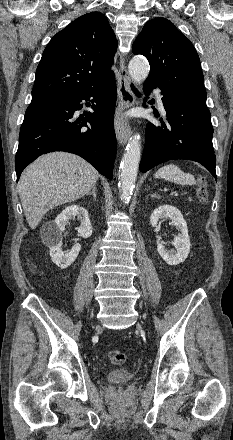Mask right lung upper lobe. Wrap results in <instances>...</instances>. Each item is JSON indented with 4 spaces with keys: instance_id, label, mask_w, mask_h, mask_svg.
<instances>
[{
    "instance_id": "1",
    "label": "right lung upper lobe",
    "mask_w": 233,
    "mask_h": 440,
    "mask_svg": "<svg viewBox=\"0 0 233 440\" xmlns=\"http://www.w3.org/2000/svg\"><path fill=\"white\" fill-rule=\"evenodd\" d=\"M116 36L100 12L85 14L58 32L36 70L32 99L89 90L110 78Z\"/></svg>"
}]
</instances>
